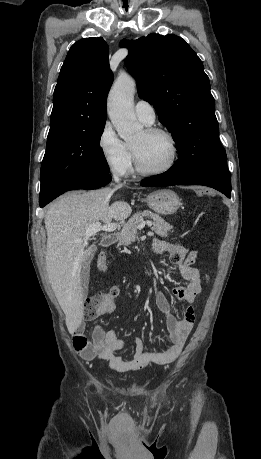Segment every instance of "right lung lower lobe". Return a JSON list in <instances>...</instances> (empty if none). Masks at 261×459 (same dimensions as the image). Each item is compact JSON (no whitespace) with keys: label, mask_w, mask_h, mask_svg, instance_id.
Instances as JSON below:
<instances>
[{"label":"right lung lower lobe","mask_w":261,"mask_h":459,"mask_svg":"<svg viewBox=\"0 0 261 459\" xmlns=\"http://www.w3.org/2000/svg\"><path fill=\"white\" fill-rule=\"evenodd\" d=\"M111 181L109 174L103 175H81L72 177L59 183L52 191H50L45 197L39 199L40 207H44L53 199L61 195L62 193L74 190V189H97L105 186Z\"/></svg>","instance_id":"98d812e1"}]
</instances>
